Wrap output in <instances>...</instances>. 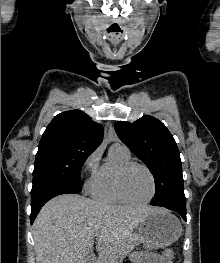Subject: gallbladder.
<instances>
[{
  "instance_id": "1",
  "label": "gallbladder",
  "mask_w": 220,
  "mask_h": 263,
  "mask_svg": "<svg viewBox=\"0 0 220 263\" xmlns=\"http://www.w3.org/2000/svg\"><path fill=\"white\" fill-rule=\"evenodd\" d=\"M86 263H91V262H90V260L87 259V260H86Z\"/></svg>"
}]
</instances>
